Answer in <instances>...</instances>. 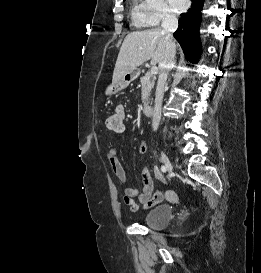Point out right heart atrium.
<instances>
[{"instance_id":"right-heart-atrium-1","label":"right heart atrium","mask_w":261,"mask_h":273,"mask_svg":"<svg viewBox=\"0 0 261 273\" xmlns=\"http://www.w3.org/2000/svg\"><path fill=\"white\" fill-rule=\"evenodd\" d=\"M138 24L146 27L160 25L175 18L174 10L166 0H137Z\"/></svg>"}]
</instances>
